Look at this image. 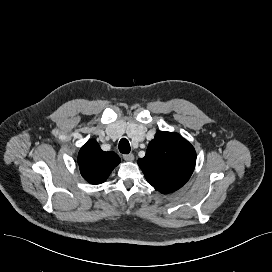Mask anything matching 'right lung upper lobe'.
Here are the masks:
<instances>
[{
    "mask_svg": "<svg viewBox=\"0 0 272 272\" xmlns=\"http://www.w3.org/2000/svg\"><path fill=\"white\" fill-rule=\"evenodd\" d=\"M119 163V156L101 150L96 140H89L78 154L81 175L91 184L103 183Z\"/></svg>",
    "mask_w": 272,
    "mask_h": 272,
    "instance_id": "right-lung-upper-lobe-1",
    "label": "right lung upper lobe"
}]
</instances>
